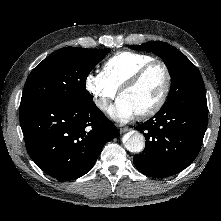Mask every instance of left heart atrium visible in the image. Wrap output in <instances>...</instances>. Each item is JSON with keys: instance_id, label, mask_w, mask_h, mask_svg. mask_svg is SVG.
<instances>
[{"instance_id": "1", "label": "left heart atrium", "mask_w": 221, "mask_h": 221, "mask_svg": "<svg viewBox=\"0 0 221 221\" xmlns=\"http://www.w3.org/2000/svg\"><path fill=\"white\" fill-rule=\"evenodd\" d=\"M108 113L113 119L120 122H127L136 115L132 106L121 96L109 108Z\"/></svg>"}]
</instances>
